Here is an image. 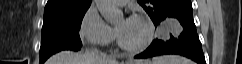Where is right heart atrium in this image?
Masks as SVG:
<instances>
[{
    "label": "right heart atrium",
    "instance_id": "d8ad5b80",
    "mask_svg": "<svg viewBox=\"0 0 242 64\" xmlns=\"http://www.w3.org/2000/svg\"><path fill=\"white\" fill-rule=\"evenodd\" d=\"M78 34L85 44L91 46L109 45L116 36L114 29L102 19L94 6H90L84 13Z\"/></svg>",
    "mask_w": 242,
    "mask_h": 64
}]
</instances>
